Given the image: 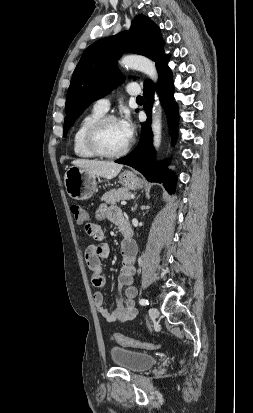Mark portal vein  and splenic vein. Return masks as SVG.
Returning <instances> with one entry per match:
<instances>
[{
  "mask_svg": "<svg viewBox=\"0 0 253 413\" xmlns=\"http://www.w3.org/2000/svg\"><path fill=\"white\" fill-rule=\"evenodd\" d=\"M127 204V202L125 201V200H123V201H121V205H126Z\"/></svg>",
  "mask_w": 253,
  "mask_h": 413,
  "instance_id": "obj_1",
  "label": "portal vein and splenic vein"
}]
</instances>
